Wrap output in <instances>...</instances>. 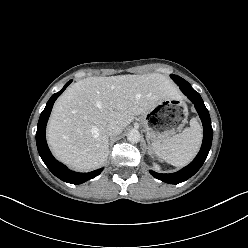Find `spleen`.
I'll return each instance as SVG.
<instances>
[{
	"mask_svg": "<svg viewBox=\"0 0 248 248\" xmlns=\"http://www.w3.org/2000/svg\"><path fill=\"white\" fill-rule=\"evenodd\" d=\"M202 141V128L197 119L190 121V127L162 142L153 144L154 152L167 163L182 167L193 160Z\"/></svg>",
	"mask_w": 248,
	"mask_h": 248,
	"instance_id": "spleen-1",
	"label": "spleen"
}]
</instances>
